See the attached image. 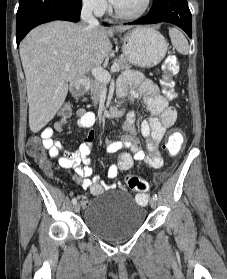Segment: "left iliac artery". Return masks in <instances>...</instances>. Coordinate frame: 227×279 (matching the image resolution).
Here are the masks:
<instances>
[{
    "label": "left iliac artery",
    "mask_w": 227,
    "mask_h": 279,
    "mask_svg": "<svg viewBox=\"0 0 227 279\" xmlns=\"http://www.w3.org/2000/svg\"><path fill=\"white\" fill-rule=\"evenodd\" d=\"M153 199H155V200H157V199H158V197H157V195H156V194H154V195H153Z\"/></svg>",
    "instance_id": "obj_1"
}]
</instances>
